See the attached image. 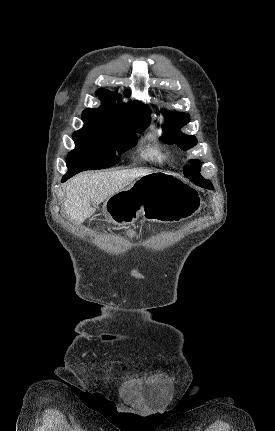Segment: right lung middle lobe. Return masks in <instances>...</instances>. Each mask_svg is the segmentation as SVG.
I'll return each mask as SVG.
<instances>
[{"mask_svg":"<svg viewBox=\"0 0 275 431\" xmlns=\"http://www.w3.org/2000/svg\"><path fill=\"white\" fill-rule=\"evenodd\" d=\"M148 125L128 127L116 121L84 122V127L73 134L76 148L68 154L67 174L117 164V154L134 146L136 132L143 131Z\"/></svg>","mask_w":275,"mask_h":431,"instance_id":"1","label":"right lung middle lobe"}]
</instances>
